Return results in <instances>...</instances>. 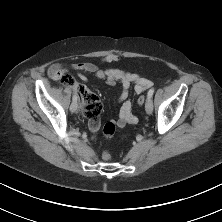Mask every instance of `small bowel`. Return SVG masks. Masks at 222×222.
<instances>
[{
	"label": "small bowel",
	"instance_id": "c3829d8e",
	"mask_svg": "<svg viewBox=\"0 0 222 222\" xmlns=\"http://www.w3.org/2000/svg\"><path fill=\"white\" fill-rule=\"evenodd\" d=\"M119 56L115 54H108L101 58L103 63H112L119 61ZM70 68L78 72V77L82 81H87L88 75L104 80L108 85H115L120 83L122 91L119 95V102L122 104L119 116L115 122L116 126L123 128L126 125L136 124L138 118L132 112V103L129 99V91L131 85L134 84V90L137 94L143 93L146 89L151 87L152 82L137 73H131L120 69L109 68L101 69L97 64L92 62L74 63L70 65ZM66 71L59 64H53L49 67L48 74L54 79L58 80L62 74ZM101 110L96 113L85 115L88 118L89 129L91 132H96L100 127Z\"/></svg>",
	"mask_w": 222,
	"mask_h": 222
}]
</instances>
